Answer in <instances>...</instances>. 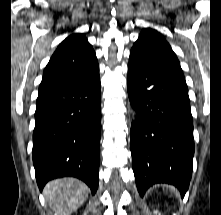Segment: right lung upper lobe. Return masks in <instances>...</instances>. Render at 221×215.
<instances>
[{
	"mask_svg": "<svg viewBox=\"0 0 221 215\" xmlns=\"http://www.w3.org/2000/svg\"><path fill=\"white\" fill-rule=\"evenodd\" d=\"M98 70L95 52L87 38L74 33L62 41L47 64L38 99L91 77Z\"/></svg>",
	"mask_w": 221,
	"mask_h": 215,
	"instance_id": "1",
	"label": "right lung upper lobe"
}]
</instances>
